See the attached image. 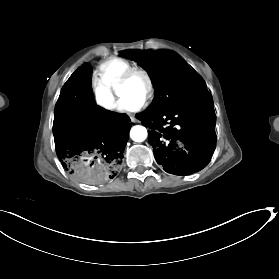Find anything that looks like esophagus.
Returning a JSON list of instances; mask_svg holds the SVG:
<instances>
[{
	"mask_svg": "<svg viewBox=\"0 0 279 279\" xmlns=\"http://www.w3.org/2000/svg\"><path fill=\"white\" fill-rule=\"evenodd\" d=\"M130 118H131V121H132L133 123H137V122H138V120H137L134 116H131Z\"/></svg>",
	"mask_w": 279,
	"mask_h": 279,
	"instance_id": "34e87169",
	"label": "esophagus"
}]
</instances>
